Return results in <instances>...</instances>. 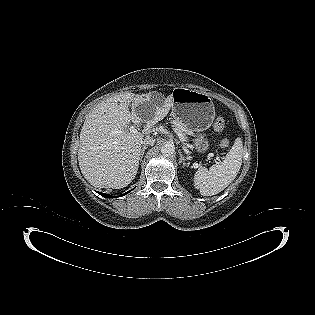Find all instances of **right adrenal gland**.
Here are the masks:
<instances>
[{
	"label": "right adrenal gland",
	"instance_id": "1",
	"mask_svg": "<svg viewBox=\"0 0 315 315\" xmlns=\"http://www.w3.org/2000/svg\"><path fill=\"white\" fill-rule=\"evenodd\" d=\"M147 149V146H143V148L141 149V157H140V161L142 160L143 158V155H144V152L145 150Z\"/></svg>",
	"mask_w": 315,
	"mask_h": 315
}]
</instances>
